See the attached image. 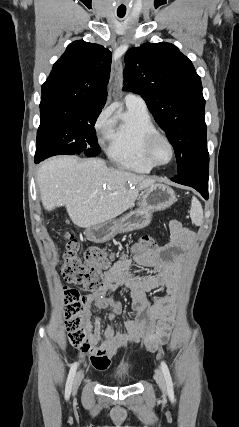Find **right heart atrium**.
<instances>
[{
	"label": "right heart atrium",
	"instance_id": "right-heart-atrium-1",
	"mask_svg": "<svg viewBox=\"0 0 239 427\" xmlns=\"http://www.w3.org/2000/svg\"><path fill=\"white\" fill-rule=\"evenodd\" d=\"M111 125V110L105 109L103 110L99 116L97 117L94 128L98 135L105 138L109 128Z\"/></svg>",
	"mask_w": 239,
	"mask_h": 427
}]
</instances>
